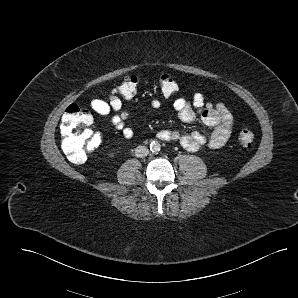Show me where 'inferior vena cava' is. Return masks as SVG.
Returning <instances> with one entry per match:
<instances>
[{"mask_svg": "<svg viewBox=\"0 0 298 298\" xmlns=\"http://www.w3.org/2000/svg\"><path fill=\"white\" fill-rule=\"evenodd\" d=\"M149 154V150L146 146H137L135 148V156L142 158V157H146Z\"/></svg>", "mask_w": 298, "mask_h": 298, "instance_id": "inferior-vena-cava-1", "label": "inferior vena cava"}]
</instances>
